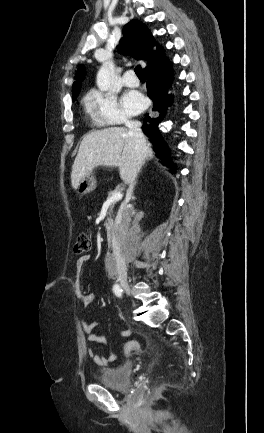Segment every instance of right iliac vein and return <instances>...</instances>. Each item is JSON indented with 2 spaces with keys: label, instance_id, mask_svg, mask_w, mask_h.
<instances>
[{
  "label": "right iliac vein",
  "instance_id": "63e3f726",
  "mask_svg": "<svg viewBox=\"0 0 264 433\" xmlns=\"http://www.w3.org/2000/svg\"><path fill=\"white\" fill-rule=\"evenodd\" d=\"M119 282H120V285L122 286V288L124 289V291L129 295L130 294V287H129L127 279L121 277V278H119Z\"/></svg>",
  "mask_w": 264,
  "mask_h": 433
}]
</instances>
